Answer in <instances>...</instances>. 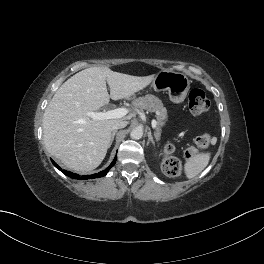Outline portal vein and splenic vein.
Instances as JSON below:
<instances>
[{"label": "portal vein and splenic vein", "mask_w": 264, "mask_h": 264, "mask_svg": "<svg viewBox=\"0 0 264 264\" xmlns=\"http://www.w3.org/2000/svg\"><path fill=\"white\" fill-rule=\"evenodd\" d=\"M128 114V110L126 108H118L114 110H108L106 112H87V115L91 117L93 120H108V119H116L122 118ZM157 126V121H152V127L155 129Z\"/></svg>", "instance_id": "18ae733b"}]
</instances>
